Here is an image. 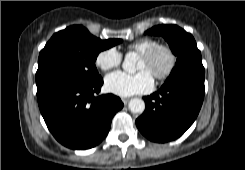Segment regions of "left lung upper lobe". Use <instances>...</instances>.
I'll list each match as a JSON object with an SVG mask.
<instances>
[{
	"instance_id": "1",
	"label": "left lung upper lobe",
	"mask_w": 245,
	"mask_h": 170,
	"mask_svg": "<svg viewBox=\"0 0 245 170\" xmlns=\"http://www.w3.org/2000/svg\"><path fill=\"white\" fill-rule=\"evenodd\" d=\"M146 33L164 37L177 56L175 67L165 83L183 77L205 78L201 53L190 33L176 25H158Z\"/></svg>"
}]
</instances>
